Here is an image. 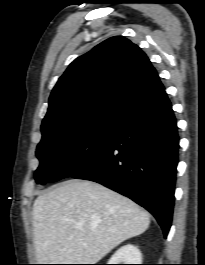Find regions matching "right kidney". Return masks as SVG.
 I'll return each mask as SVG.
<instances>
[{
  "label": "right kidney",
  "mask_w": 205,
  "mask_h": 265,
  "mask_svg": "<svg viewBox=\"0 0 205 265\" xmlns=\"http://www.w3.org/2000/svg\"><path fill=\"white\" fill-rule=\"evenodd\" d=\"M140 250L131 244L119 248L109 260L108 264H141Z\"/></svg>",
  "instance_id": "right-kidney-1"
}]
</instances>
